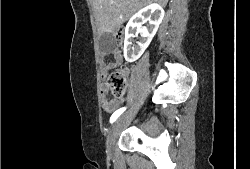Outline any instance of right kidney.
Returning <instances> with one entry per match:
<instances>
[{
    "instance_id": "right-kidney-1",
    "label": "right kidney",
    "mask_w": 250,
    "mask_h": 169,
    "mask_svg": "<svg viewBox=\"0 0 250 169\" xmlns=\"http://www.w3.org/2000/svg\"><path fill=\"white\" fill-rule=\"evenodd\" d=\"M164 16V8L153 2L144 6L138 12L131 16L129 22L125 26V40H124V58L128 62H134L140 58L145 48L150 44L154 34L158 30L160 22ZM144 22H149L148 26H142ZM138 32L141 34L140 40H136V44H132L133 36H137Z\"/></svg>"
}]
</instances>
